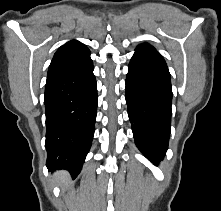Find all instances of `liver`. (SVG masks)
Listing matches in <instances>:
<instances>
[{
	"mask_svg": "<svg viewBox=\"0 0 221 211\" xmlns=\"http://www.w3.org/2000/svg\"><path fill=\"white\" fill-rule=\"evenodd\" d=\"M54 177L56 178L57 182L62 185V187L68 186L70 182L69 174L66 171H59L54 175Z\"/></svg>",
	"mask_w": 221,
	"mask_h": 211,
	"instance_id": "liver-1",
	"label": "liver"
}]
</instances>
